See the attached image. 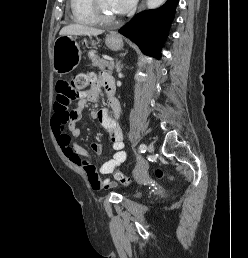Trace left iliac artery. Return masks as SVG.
I'll list each match as a JSON object with an SVG mask.
<instances>
[{"label": "left iliac artery", "mask_w": 248, "mask_h": 258, "mask_svg": "<svg viewBox=\"0 0 248 258\" xmlns=\"http://www.w3.org/2000/svg\"><path fill=\"white\" fill-rule=\"evenodd\" d=\"M139 150H140L141 153H145V151H146V145H145V144H141V145L139 146Z\"/></svg>", "instance_id": "1"}]
</instances>
